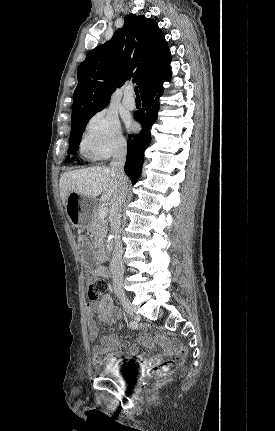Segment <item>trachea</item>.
Here are the masks:
<instances>
[{"label": "trachea", "mask_w": 275, "mask_h": 431, "mask_svg": "<svg viewBox=\"0 0 275 431\" xmlns=\"http://www.w3.org/2000/svg\"><path fill=\"white\" fill-rule=\"evenodd\" d=\"M134 92H135L136 97H139V91H138V87L137 86L134 88Z\"/></svg>", "instance_id": "trachea-1"}]
</instances>
